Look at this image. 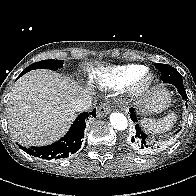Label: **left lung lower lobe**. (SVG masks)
<instances>
[{"instance_id":"0a47b994","label":"left lung lower lobe","mask_w":196,"mask_h":196,"mask_svg":"<svg viewBox=\"0 0 196 196\" xmlns=\"http://www.w3.org/2000/svg\"><path fill=\"white\" fill-rule=\"evenodd\" d=\"M158 69L161 71L162 81L173 84L181 94L182 98L186 101L188 97L183 86V81L182 79H180L178 72L173 67L166 64L159 66ZM130 117L132 121L137 122L136 112L134 108H131L130 110ZM135 129L136 135L133 136L131 138V141H129L128 143L129 148H131L132 150L138 152L139 154H149L157 152L163 147L164 143L162 141L161 143L148 141L147 135L143 131H141V128L138 124L135 125ZM177 132H175V134Z\"/></svg>"}]
</instances>
